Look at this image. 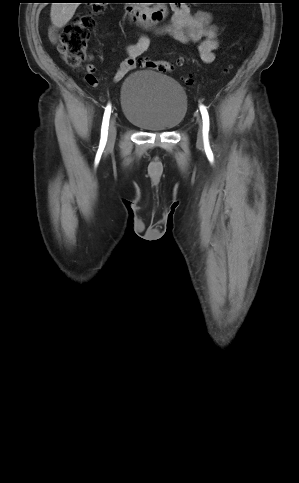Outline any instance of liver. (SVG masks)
I'll list each match as a JSON object with an SVG mask.
<instances>
[{"label": "liver", "instance_id": "liver-1", "mask_svg": "<svg viewBox=\"0 0 299 483\" xmlns=\"http://www.w3.org/2000/svg\"><path fill=\"white\" fill-rule=\"evenodd\" d=\"M79 3H52L51 21L57 28L65 26L73 17Z\"/></svg>", "mask_w": 299, "mask_h": 483}]
</instances>
